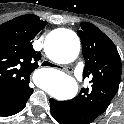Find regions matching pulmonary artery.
<instances>
[{"label": "pulmonary artery", "instance_id": "e3ab8cb5", "mask_svg": "<svg viewBox=\"0 0 124 124\" xmlns=\"http://www.w3.org/2000/svg\"><path fill=\"white\" fill-rule=\"evenodd\" d=\"M75 76L79 83H83L84 76H83V67L82 66H77L75 68Z\"/></svg>", "mask_w": 124, "mask_h": 124}]
</instances>
